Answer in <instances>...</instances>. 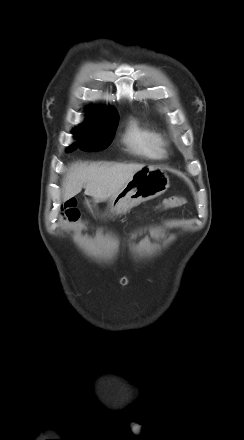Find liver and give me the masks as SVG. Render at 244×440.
Wrapping results in <instances>:
<instances>
[{"label":"liver","instance_id":"obj_1","mask_svg":"<svg viewBox=\"0 0 244 440\" xmlns=\"http://www.w3.org/2000/svg\"><path fill=\"white\" fill-rule=\"evenodd\" d=\"M143 164L75 163L71 165L64 182V199L85 189V195L97 202L111 199L143 168Z\"/></svg>","mask_w":244,"mask_h":440}]
</instances>
